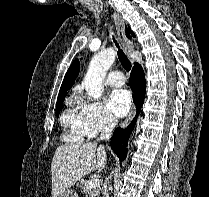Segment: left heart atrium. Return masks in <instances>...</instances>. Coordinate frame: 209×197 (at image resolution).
Segmentation results:
<instances>
[{"mask_svg": "<svg viewBox=\"0 0 209 197\" xmlns=\"http://www.w3.org/2000/svg\"><path fill=\"white\" fill-rule=\"evenodd\" d=\"M131 106V94L126 89L113 90L107 100L109 111L116 117H123Z\"/></svg>", "mask_w": 209, "mask_h": 197, "instance_id": "39dd6f15", "label": "left heart atrium"}]
</instances>
